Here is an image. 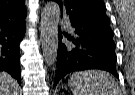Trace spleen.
<instances>
[{
  "mask_svg": "<svg viewBox=\"0 0 135 95\" xmlns=\"http://www.w3.org/2000/svg\"><path fill=\"white\" fill-rule=\"evenodd\" d=\"M73 95H120L109 73L98 70L75 72L68 80Z\"/></svg>",
  "mask_w": 135,
  "mask_h": 95,
  "instance_id": "spleen-1",
  "label": "spleen"
}]
</instances>
